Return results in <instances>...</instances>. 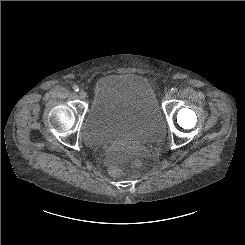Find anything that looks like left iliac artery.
I'll list each match as a JSON object with an SVG mask.
<instances>
[{
  "label": "left iliac artery",
  "mask_w": 245,
  "mask_h": 245,
  "mask_svg": "<svg viewBox=\"0 0 245 245\" xmlns=\"http://www.w3.org/2000/svg\"><path fill=\"white\" fill-rule=\"evenodd\" d=\"M177 90H178V89H177L176 87H173V88L171 89V93H173V94H174V93H176V92H177Z\"/></svg>",
  "instance_id": "left-iliac-artery-1"
}]
</instances>
